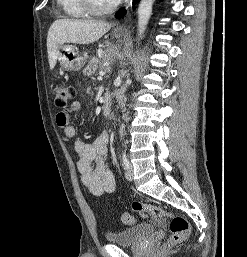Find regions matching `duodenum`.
<instances>
[{"label": "duodenum", "instance_id": "duodenum-1", "mask_svg": "<svg viewBox=\"0 0 247 257\" xmlns=\"http://www.w3.org/2000/svg\"><path fill=\"white\" fill-rule=\"evenodd\" d=\"M112 111V98L110 93L106 92L103 97V104H102V114L104 116H109Z\"/></svg>", "mask_w": 247, "mask_h": 257}]
</instances>
